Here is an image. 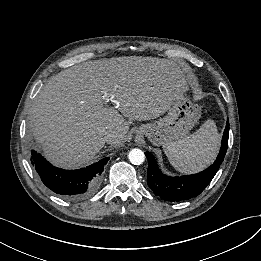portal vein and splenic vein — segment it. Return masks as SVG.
Listing matches in <instances>:
<instances>
[{"mask_svg":"<svg viewBox=\"0 0 261 261\" xmlns=\"http://www.w3.org/2000/svg\"><path fill=\"white\" fill-rule=\"evenodd\" d=\"M104 99H105V102L111 101L112 103H117L114 95H105Z\"/></svg>","mask_w":261,"mask_h":261,"instance_id":"obj_1","label":"portal vein and splenic vein"}]
</instances>
